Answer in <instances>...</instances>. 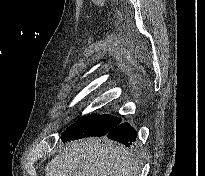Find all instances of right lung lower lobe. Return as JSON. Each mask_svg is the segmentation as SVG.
Here are the masks:
<instances>
[{"label": "right lung lower lobe", "mask_w": 205, "mask_h": 176, "mask_svg": "<svg viewBox=\"0 0 205 176\" xmlns=\"http://www.w3.org/2000/svg\"><path fill=\"white\" fill-rule=\"evenodd\" d=\"M109 139L118 141L125 146L129 147L133 142H135L137 133L134 128H132L128 123H119L107 134ZM77 138H71L69 140H76ZM64 141V139H62Z\"/></svg>", "instance_id": "obj_1"}]
</instances>
